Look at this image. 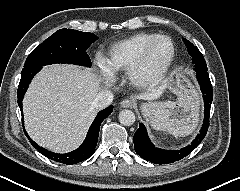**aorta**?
Here are the masks:
<instances>
[{"mask_svg":"<svg viewBox=\"0 0 240 191\" xmlns=\"http://www.w3.org/2000/svg\"><path fill=\"white\" fill-rule=\"evenodd\" d=\"M135 119V114L131 110L124 109L119 113V122L124 126H131Z\"/></svg>","mask_w":240,"mask_h":191,"instance_id":"aorta-1","label":"aorta"}]
</instances>
